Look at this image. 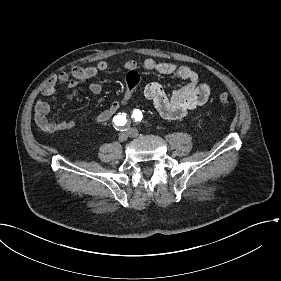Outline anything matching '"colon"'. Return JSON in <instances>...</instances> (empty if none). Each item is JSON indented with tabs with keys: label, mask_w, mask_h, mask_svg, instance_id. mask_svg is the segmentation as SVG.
<instances>
[{
	"label": "colon",
	"mask_w": 281,
	"mask_h": 281,
	"mask_svg": "<svg viewBox=\"0 0 281 281\" xmlns=\"http://www.w3.org/2000/svg\"><path fill=\"white\" fill-rule=\"evenodd\" d=\"M218 102L221 104H227L229 102V96L226 94H220L218 96Z\"/></svg>",
	"instance_id": "5ec220e1"
}]
</instances>
